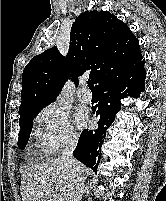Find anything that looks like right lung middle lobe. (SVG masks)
<instances>
[{
    "label": "right lung middle lobe",
    "instance_id": "1",
    "mask_svg": "<svg viewBox=\"0 0 166 201\" xmlns=\"http://www.w3.org/2000/svg\"><path fill=\"white\" fill-rule=\"evenodd\" d=\"M39 112L40 110H36L20 116L19 125L21 129L19 132L18 147L22 150L25 148L29 140V136L33 125L32 120L36 117Z\"/></svg>",
    "mask_w": 166,
    "mask_h": 201
}]
</instances>
